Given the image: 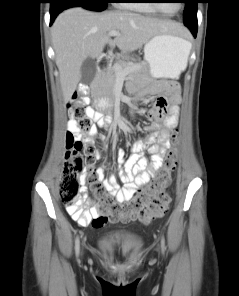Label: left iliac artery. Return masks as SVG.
Instances as JSON below:
<instances>
[{"label":"left iliac artery","instance_id":"44dca946","mask_svg":"<svg viewBox=\"0 0 239 296\" xmlns=\"http://www.w3.org/2000/svg\"><path fill=\"white\" fill-rule=\"evenodd\" d=\"M161 246H162V252L164 253V251H165V240H164V238H162V240H161Z\"/></svg>","mask_w":239,"mask_h":296}]
</instances>
